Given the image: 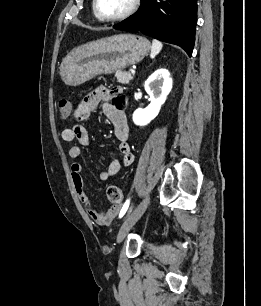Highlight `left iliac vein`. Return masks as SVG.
<instances>
[{
  "label": "left iliac vein",
  "mask_w": 261,
  "mask_h": 306,
  "mask_svg": "<svg viewBox=\"0 0 261 306\" xmlns=\"http://www.w3.org/2000/svg\"><path fill=\"white\" fill-rule=\"evenodd\" d=\"M149 203H150V197L149 195H147L131 213H128L125 216L123 223L119 229L118 235H117V243H120L124 240V238L130 231V229L133 227V225L144 214Z\"/></svg>",
  "instance_id": "1"
}]
</instances>
